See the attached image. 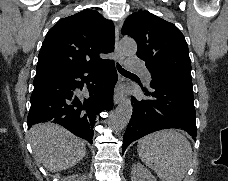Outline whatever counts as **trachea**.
I'll list each match as a JSON object with an SVG mask.
<instances>
[{"mask_svg": "<svg viewBox=\"0 0 228 181\" xmlns=\"http://www.w3.org/2000/svg\"><path fill=\"white\" fill-rule=\"evenodd\" d=\"M117 69L118 71L123 75V74H127V75H133V73H130V71L125 70L124 68H122V66H120L119 64H117Z\"/></svg>", "mask_w": 228, "mask_h": 181, "instance_id": "trachea-1", "label": "trachea"}]
</instances>
